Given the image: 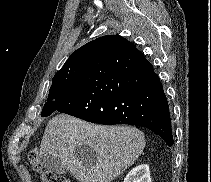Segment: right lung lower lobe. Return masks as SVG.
<instances>
[{"label":"right lung lower lobe","instance_id":"obj_1","mask_svg":"<svg viewBox=\"0 0 211 182\" xmlns=\"http://www.w3.org/2000/svg\"><path fill=\"white\" fill-rule=\"evenodd\" d=\"M54 112L92 123L146 127L173 145L167 98L144 55L118 36L97 38L76 89L55 102Z\"/></svg>","mask_w":211,"mask_h":182}]
</instances>
